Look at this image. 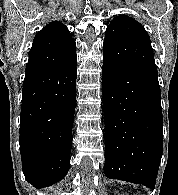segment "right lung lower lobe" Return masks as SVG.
<instances>
[{
    "mask_svg": "<svg viewBox=\"0 0 178 195\" xmlns=\"http://www.w3.org/2000/svg\"><path fill=\"white\" fill-rule=\"evenodd\" d=\"M76 66L25 74L19 143L23 173L36 188L62 180L70 168Z\"/></svg>",
    "mask_w": 178,
    "mask_h": 195,
    "instance_id": "obj_1",
    "label": "right lung lower lobe"
}]
</instances>
